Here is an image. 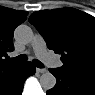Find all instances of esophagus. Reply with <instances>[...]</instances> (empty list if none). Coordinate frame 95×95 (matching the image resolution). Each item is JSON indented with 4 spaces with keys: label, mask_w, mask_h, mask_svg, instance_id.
<instances>
[{
    "label": "esophagus",
    "mask_w": 95,
    "mask_h": 95,
    "mask_svg": "<svg viewBox=\"0 0 95 95\" xmlns=\"http://www.w3.org/2000/svg\"><path fill=\"white\" fill-rule=\"evenodd\" d=\"M36 70L39 73H45L47 71L45 68H37Z\"/></svg>",
    "instance_id": "esophagus-1"
}]
</instances>
